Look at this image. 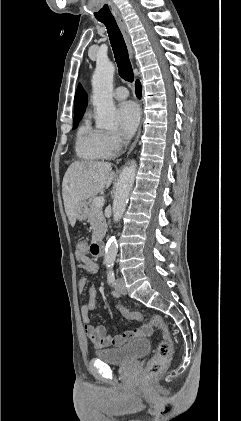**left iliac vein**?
<instances>
[{"instance_id": "4c4485c4", "label": "left iliac vein", "mask_w": 241, "mask_h": 421, "mask_svg": "<svg viewBox=\"0 0 241 421\" xmlns=\"http://www.w3.org/2000/svg\"><path fill=\"white\" fill-rule=\"evenodd\" d=\"M115 289L120 294H123V295L126 294L125 283H124V280L122 278H118L116 280V282H115Z\"/></svg>"}]
</instances>
